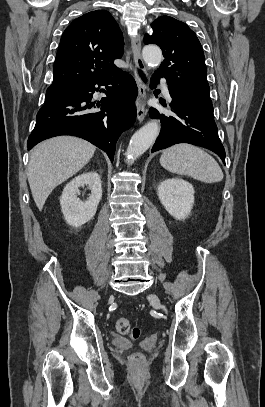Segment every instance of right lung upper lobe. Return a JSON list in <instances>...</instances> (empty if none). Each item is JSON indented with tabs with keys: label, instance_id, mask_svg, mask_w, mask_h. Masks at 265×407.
<instances>
[{
	"label": "right lung upper lobe",
	"instance_id": "1",
	"mask_svg": "<svg viewBox=\"0 0 265 407\" xmlns=\"http://www.w3.org/2000/svg\"><path fill=\"white\" fill-rule=\"evenodd\" d=\"M123 52V34L111 14L105 10L86 13L75 19L61 37L52 85L79 86L116 72L119 69L114 60Z\"/></svg>",
	"mask_w": 265,
	"mask_h": 407
}]
</instances>
